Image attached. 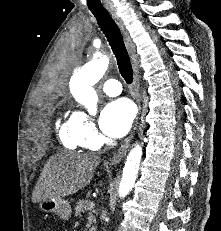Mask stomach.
Returning <instances> with one entry per match:
<instances>
[{"label": "stomach", "instance_id": "stomach-1", "mask_svg": "<svg viewBox=\"0 0 221 231\" xmlns=\"http://www.w3.org/2000/svg\"><path fill=\"white\" fill-rule=\"evenodd\" d=\"M39 209L46 213H55L63 220H68L71 216V205L63 198H49L39 202Z\"/></svg>", "mask_w": 221, "mask_h": 231}]
</instances>
